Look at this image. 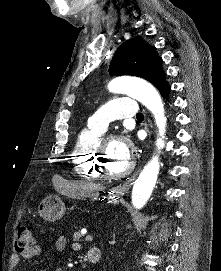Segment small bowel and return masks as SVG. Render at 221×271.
<instances>
[{
	"mask_svg": "<svg viewBox=\"0 0 221 271\" xmlns=\"http://www.w3.org/2000/svg\"><path fill=\"white\" fill-rule=\"evenodd\" d=\"M66 244H67L66 238L63 236H60L55 240V248L58 251L64 250L66 247ZM72 248L75 251H79L81 249V245L78 242H74L72 244ZM90 252H91V250H90ZM40 253H41V247L39 245H33V246H30V247L24 249L21 253H14L11 256L10 263L13 267H16L20 264L22 258L30 259L32 257L39 255ZM57 271H62V270L57 269Z\"/></svg>",
	"mask_w": 221,
	"mask_h": 271,
	"instance_id": "c3829d8e",
	"label": "small bowel"
}]
</instances>
